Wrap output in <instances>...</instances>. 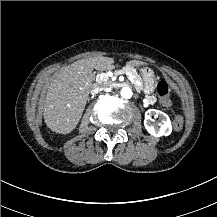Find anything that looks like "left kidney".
I'll return each mask as SVG.
<instances>
[{"instance_id": "1", "label": "left kidney", "mask_w": 217, "mask_h": 217, "mask_svg": "<svg viewBox=\"0 0 217 217\" xmlns=\"http://www.w3.org/2000/svg\"><path fill=\"white\" fill-rule=\"evenodd\" d=\"M155 113L160 119L159 124L152 122L151 114ZM145 130L154 137L169 136L172 133V123L169 116L159 110L149 109L145 113L144 119Z\"/></svg>"}]
</instances>
